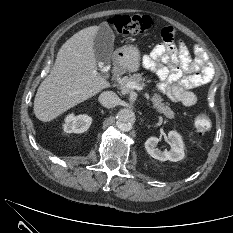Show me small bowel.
<instances>
[{"mask_svg":"<svg viewBox=\"0 0 233 233\" xmlns=\"http://www.w3.org/2000/svg\"><path fill=\"white\" fill-rule=\"evenodd\" d=\"M162 38L163 41L143 57V65L158 77L159 92L172 101L193 106L197 103V96L192 89L210 82L214 68L200 46L192 48V57L187 46L175 40L173 28H164Z\"/></svg>","mask_w":233,"mask_h":233,"instance_id":"c3829d8e","label":"small bowel"}]
</instances>
